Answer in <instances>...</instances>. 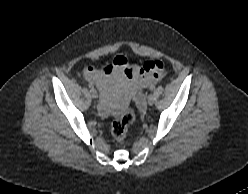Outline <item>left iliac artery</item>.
<instances>
[{
  "label": "left iliac artery",
  "instance_id": "left-iliac-artery-1",
  "mask_svg": "<svg viewBox=\"0 0 248 194\" xmlns=\"http://www.w3.org/2000/svg\"><path fill=\"white\" fill-rule=\"evenodd\" d=\"M150 89L153 91L155 89V87L154 86H151Z\"/></svg>",
  "mask_w": 248,
  "mask_h": 194
}]
</instances>
